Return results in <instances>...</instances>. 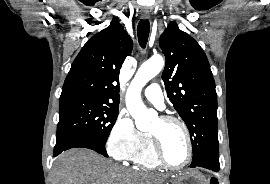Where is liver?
Masks as SVG:
<instances>
[{
  "label": "liver",
  "instance_id": "6515ba94",
  "mask_svg": "<svg viewBox=\"0 0 270 184\" xmlns=\"http://www.w3.org/2000/svg\"><path fill=\"white\" fill-rule=\"evenodd\" d=\"M53 184H161L163 178L130 171L88 149L60 154L52 168Z\"/></svg>",
  "mask_w": 270,
  "mask_h": 184
}]
</instances>
